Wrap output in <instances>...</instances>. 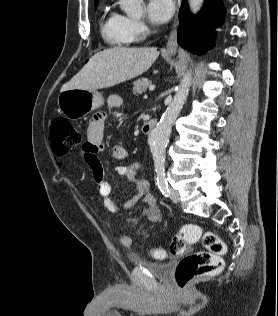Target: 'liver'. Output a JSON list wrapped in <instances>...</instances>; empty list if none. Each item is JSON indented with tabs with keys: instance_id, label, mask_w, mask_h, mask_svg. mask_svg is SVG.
<instances>
[{
	"instance_id": "1",
	"label": "liver",
	"mask_w": 278,
	"mask_h": 316,
	"mask_svg": "<svg viewBox=\"0 0 278 316\" xmlns=\"http://www.w3.org/2000/svg\"><path fill=\"white\" fill-rule=\"evenodd\" d=\"M155 47H115L94 54L88 63L63 87L94 91L115 86L147 71L158 58Z\"/></svg>"
}]
</instances>
